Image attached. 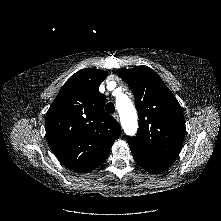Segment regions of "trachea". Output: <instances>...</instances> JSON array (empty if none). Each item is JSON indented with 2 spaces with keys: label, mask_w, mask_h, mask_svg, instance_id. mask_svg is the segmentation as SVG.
<instances>
[{
  "label": "trachea",
  "mask_w": 221,
  "mask_h": 221,
  "mask_svg": "<svg viewBox=\"0 0 221 221\" xmlns=\"http://www.w3.org/2000/svg\"><path fill=\"white\" fill-rule=\"evenodd\" d=\"M105 109H106L107 113L113 114L115 111V106L113 103L109 102V103H107Z\"/></svg>",
  "instance_id": "1"
}]
</instances>
